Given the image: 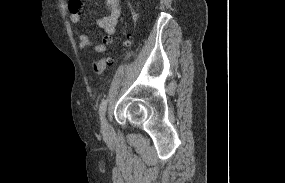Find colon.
Wrapping results in <instances>:
<instances>
[{"instance_id": "1", "label": "colon", "mask_w": 285, "mask_h": 183, "mask_svg": "<svg viewBox=\"0 0 285 183\" xmlns=\"http://www.w3.org/2000/svg\"><path fill=\"white\" fill-rule=\"evenodd\" d=\"M75 0H70V2H74ZM72 12H76L77 8L75 6L71 7ZM129 44V41L126 40L123 42L124 46H127ZM113 59L111 56H105L97 61H95L92 65L93 72L98 75L102 76L105 72L106 68L112 63Z\"/></svg>"}]
</instances>
